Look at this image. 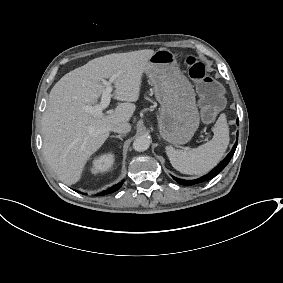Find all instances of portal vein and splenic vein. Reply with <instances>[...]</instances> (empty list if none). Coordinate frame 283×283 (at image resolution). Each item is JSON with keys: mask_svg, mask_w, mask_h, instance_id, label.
Wrapping results in <instances>:
<instances>
[{"mask_svg": "<svg viewBox=\"0 0 283 283\" xmlns=\"http://www.w3.org/2000/svg\"><path fill=\"white\" fill-rule=\"evenodd\" d=\"M118 77V74H114L109 81L103 80V84L106 87L105 90L102 92V98H101V102L95 106H86V112L93 115V116H102L103 113V109L107 108L109 103H110V99H111V92L113 90L112 88V82Z\"/></svg>", "mask_w": 283, "mask_h": 283, "instance_id": "obj_1", "label": "portal vein and splenic vein"}]
</instances>
